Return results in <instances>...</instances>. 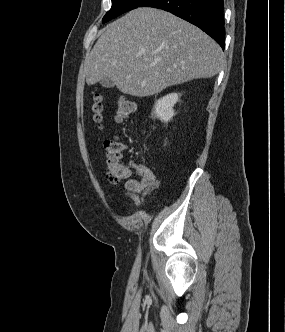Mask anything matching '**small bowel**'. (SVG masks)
I'll return each instance as SVG.
<instances>
[{
    "label": "small bowel",
    "instance_id": "c3829d8e",
    "mask_svg": "<svg viewBox=\"0 0 285 332\" xmlns=\"http://www.w3.org/2000/svg\"><path fill=\"white\" fill-rule=\"evenodd\" d=\"M132 167L140 179L130 178L124 185V190L127 196L139 206L143 202V196L151 193L159 186V180L153 173V171L143 164H132Z\"/></svg>",
    "mask_w": 285,
    "mask_h": 332
}]
</instances>
